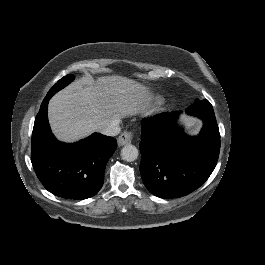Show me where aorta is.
Listing matches in <instances>:
<instances>
[{"instance_id":"762f6f07","label":"aorta","mask_w":265,"mask_h":265,"mask_svg":"<svg viewBox=\"0 0 265 265\" xmlns=\"http://www.w3.org/2000/svg\"><path fill=\"white\" fill-rule=\"evenodd\" d=\"M121 157L127 162L135 161L138 157V150L134 145L127 144L121 149Z\"/></svg>"}]
</instances>
